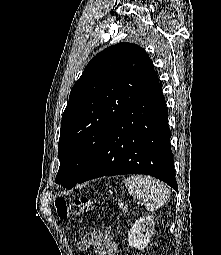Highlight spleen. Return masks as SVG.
<instances>
[{"label":"spleen","instance_id":"obj_1","mask_svg":"<svg viewBox=\"0 0 221 255\" xmlns=\"http://www.w3.org/2000/svg\"><path fill=\"white\" fill-rule=\"evenodd\" d=\"M124 184L129 194L134 198L143 200L149 211L162 207L170 197L168 187L149 176H129L124 178Z\"/></svg>","mask_w":221,"mask_h":255}]
</instances>
